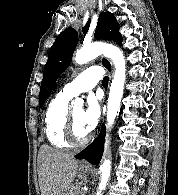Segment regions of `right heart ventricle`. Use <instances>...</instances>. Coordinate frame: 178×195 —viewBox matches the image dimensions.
Wrapping results in <instances>:
<instances>
[{"instance_id": "right-heart-ventricle-1", "label": "right heart ventricle", "mask_w": 178, "mask_h": 195, "mask_svg": "<svg viewBox=\"0 0 178 195\" xmlns=\"http://www.w3.org/2000/svg\"><path fill=\"white\" fill-rule=\"evenodd\" d=\"M70 98L59 92L50 102L44 118L45 135L49 143L58 149L69 148L64 137Z\"/></svg>"}]
</instances>
